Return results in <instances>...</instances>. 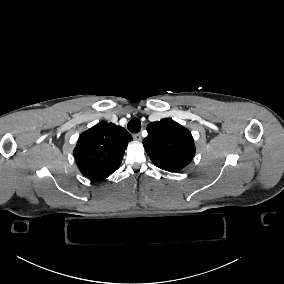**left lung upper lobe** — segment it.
I'll return each instance as SVG.
<instances>
[{
    "label": "left lung upper lobe",
    "instance_id": "1",
    "mask_svg": "<svg viewBox=\"0 0 284 284\" xmlns=\"http://www.w3.org/2000/svg\"><path fill=\"white\" fill-rule=\"evenodd\" d=\"M148 136L143 145L157 167L178 172L194 157L195 145L191 132L171 119L152 122L147 126Z\"/></svg>",
    "mask_w": 284,
    "mask_h": 284
}]
</instances>
